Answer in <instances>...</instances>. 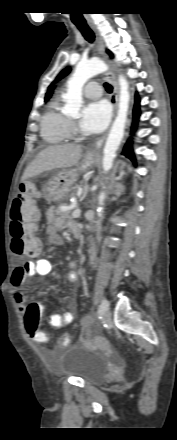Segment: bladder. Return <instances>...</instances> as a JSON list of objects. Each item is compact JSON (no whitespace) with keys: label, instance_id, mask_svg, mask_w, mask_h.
<instances>
[{"label":"bladder","instance_id":"31cf9c89","mask_svg":"<svg viewBox=\"0 0 177 440\" xmlns=\"http://www.w3.org/2000/svg\"><path fill=\"white\" fill-rule=\"evenodd\" d=\"M107 356L99 350L71 345L61 347L57 370L61 374L74 375L87 383L104 380Z\"/></svg>","mask_w":177,"mask_h":440}]
</instances>
